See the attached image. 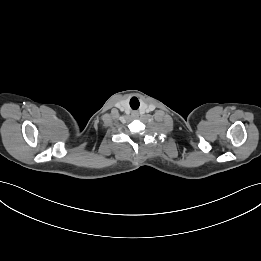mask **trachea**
<instances>
[{
	"label": "trachea",
	"mask_w": 261,
	"mask_h": 261,
	"mask_svg": "<svg viewBox=\"0 0 261 261\" xmlns=\"http://www.w3.org/2000/svg\"><path fill=\"white\" fill-rule=\"evenodd\" d=\"M130 106L132 109H138L139 107V101L137 98L133 97L131 100H130Z\"/></svg>",
	"instance_id": "trachea-1"
}]
</instances>
